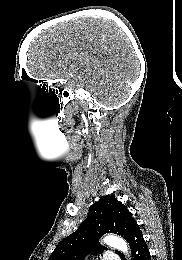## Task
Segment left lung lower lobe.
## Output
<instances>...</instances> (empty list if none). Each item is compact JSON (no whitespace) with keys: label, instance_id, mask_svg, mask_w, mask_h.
Returning <instances> with one entry per match:
<instances>
[{"label":"left lung lower lobe","instance_id":"left-lung-lower-lobe-1","mask_svg":"<svg viewBox=\"0 0 182 260\" xmlns=\"http://www.w3.org/2000/svg\"><path fill=\"white\" fill-rule=\"evenodd\" d=\"M127 241L132 252L133 258L131 260H151L149 250L142 237L139 226L134 228ZM120 256L122 257V260H125L122 254H120Z\"/></svg>","mask_w":182,"mask_h":260}]
</instances>
